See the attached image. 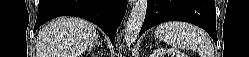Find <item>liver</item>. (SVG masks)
Segmentation results:
<instances>
[{
  "label": "liver",
  "instance_id": "liver-1",
  "mask_svg": "<svg viewBox=\"0 0 249 57\" xmlns=\"http://www.w3.org/2000/svg\"><path fill=\"white\" fill-rule=\"evenodd\" d=\"M97 36L92 23L76 17H60L38 33L36 57H79L92 47Z\"/></svg>",
  "mask_w": 249,
  "mask_h": 57
}]
</instances>
